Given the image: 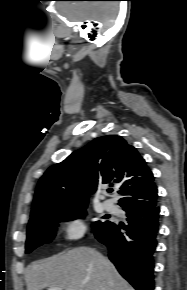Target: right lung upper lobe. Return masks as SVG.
Wrapping results in <instances>:
<instances>
[{
	"label": "right lung upper lobe",
	"instance_id": "1",
	"mask_svg": "<svg viewBox=\"0 0 187 290\" xmlns=\"http://www.w3.org/2000/svg\"><path fill=\"white\" fill-rule=\"evenodd\" d=\"M99 184L118 188L123 208L157 200L153 174L136 148L117 135L102 136L44 173L29 224L51 212L87 206Z\"/></svg>",
	"mask_w": 187,
	"mask_h": 290
}]
</instances>
